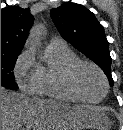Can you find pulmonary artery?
Returning a JSON list of instances; mask_svg holds the SVG:
<instances>
[{
    "mask_svg": "<svg viewBox=\"0 0 123 130\" xmlns=\"http://www.w3.org/2000/svg\"><path fill=\"white\" fill-rule=\"evenodd\" d=\"M49 45L63 47L66 46V42L61 37H52L49 41Z\"/></svg>",
    "mask_w": 123,
    "mask_h": 130,
    "instance_id": "1",
    "label": "pulmonary artery"
}]
</instances>
